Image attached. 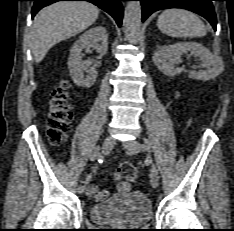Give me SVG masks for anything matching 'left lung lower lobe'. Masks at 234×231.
Instances as JSON below:
<instances>
[{"instance_id": "left-lung-lower-lobe-1", "label": "left lung lower lobe", "mask_w": 234, "mask_h": 231, "mask_svg": "<svg viewBox=\"0 0 234 231\" xmlns=\"http://www.w3.org/2000/svg\"><path fill=\"white\" fill-rule=\"evenodd\" d=\"M142 3V21L155 11L166 8H184L206 18L216 30L214 0H139Z\"/></svg>"}]
</instances>
